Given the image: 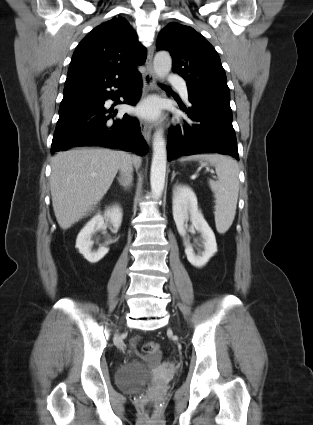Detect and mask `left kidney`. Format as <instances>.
Listing matches in <instances>:
<instances>
[{"instance_id":"1","label":"left kidney","mask_w":313,"mask_h":425,"mask_svg":"<svg viewBox=\"0 0 313 425\" xmlns=\"http://www.w3.org/2000/svg\"><path fill=\"white\" fill-rule=\"evenodd\" d=\"M173 218L179 234L185 238L184 223L191 220L194 228L201 233L204 251L195 254L190 243L185 239V254L195 267H203L217 252L215 235L198 209L197 197L193 190L185 185H176L173 190Z\"/></svg>"}]
</instances>
